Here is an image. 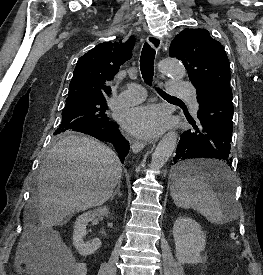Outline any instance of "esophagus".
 I'll list each match as a JSON object with an SVG mask.
<instances>
[{
  "mask_svg": "<svg viewBox=\"0 0 263 275\" xmlns=\"http://www.w3.org/2000/svg\"><path fill=\"white\" fill-rule=\"evenodd\" d=\"M147 42L158 54L160 49H161V44H162L161 39L159 37L155 36V35H149L148 38H147ZM153 143H154V140H149L147 142L146 141L132 140L131 148H132V151L134 153H138L144 148L145 145L153 144Z\"/></svg>",
  "mask_w": 263,
  "mask_h": 275,
  "instance_id": "esophagus-1",
  "label": "esophagus"
}]
</instances>
